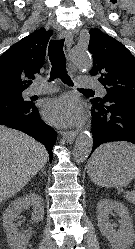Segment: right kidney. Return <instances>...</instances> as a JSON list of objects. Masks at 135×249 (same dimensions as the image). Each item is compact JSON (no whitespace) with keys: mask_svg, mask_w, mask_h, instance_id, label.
Here are the masks:
<instances>
[{"mask_svg":"<svg viewBox=\"0 0 135 249\" xmlns=\"http://www.w3.org/2000/svg\"><path fill=\"white\" fill-rule=\"evenodd\" d=\"M32 207V221L38 223L44 218L43 199L38 194H29L14 200L5 210L2 216L4 231L7 234L8 245L11 249H26L31 238V230L18 233L14 223L15 218L22 209Z\"/></svg>","mask_w":135,"mask_h":249,"instance_id":"1","label":"right kidney"}]
</instances>
